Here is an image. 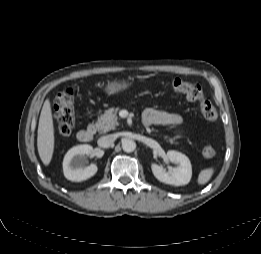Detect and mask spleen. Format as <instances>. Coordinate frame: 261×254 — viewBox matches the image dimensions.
<instances>
[{"mask_svg": "<svg viewBox=\"0 0 261 254\" xmlns=\"http://www.w3.org/2000/svg\"><path fill=\"white\" fill-rule=\"evenodd\" d=\"M213 173H214L213 168H207V169L202 170L198 176V180H197L198 184L199 185L206 184L211 179Z\"/></svg>", "mask_w": 261, "mask_h": 254, "instance_id": "3e777b00", "label": "spleen"}]
</instances>
